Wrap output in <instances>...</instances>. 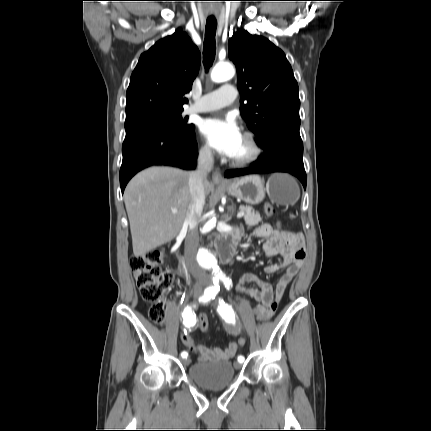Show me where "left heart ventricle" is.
<instances>
[{"mask_svg":"<svg viewBox=\"0 0 431 431\" xmlns=\"http://www.w3.org/2000/svg\"><path fill=\"white\" fill-rule=\"evenodd\" d=\"M249 151H250V148H249L247 141L244 138H242L240 146L238 147V149L236 150V152L234 153V155L232 157L233 158L244 157L249 153Z\"/></svg>","mask_w":431,"mask_h":431,"instance_id":"b2bd125f","label":"left heart ventricle"}]
</instances>
